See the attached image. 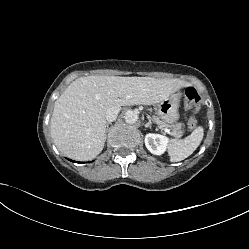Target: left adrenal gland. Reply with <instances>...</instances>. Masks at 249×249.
Segmentation results:
<instances>
[{
  "mask_svg": "<svg viewBox=\"0 0 249 249\" xmlns=\"http://www.w3.org/2000/svg\"><path fill=\"white\" fill-rule=\"evenodd\" d=\"M145 127L147 128V127H149V128H151L152 127V123H151V121L149 120V122L148 123H146L145 124Z\"/></svg>",
  "mask_w": 249,
  "mask_h": 249,
  "instance_id": "left-adrenal-gland-1",
  "label": "left adrenal gland"
}]
</instances>
